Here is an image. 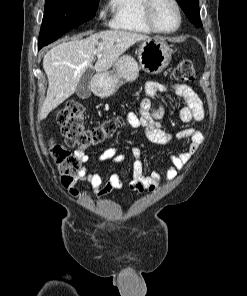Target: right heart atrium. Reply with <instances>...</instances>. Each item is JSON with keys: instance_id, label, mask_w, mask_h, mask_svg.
I'll return each mask as SVG.
<instances>
[{"instance_id": "right-heart-atrium-1", "label": "right heart atrium", "mask_w": 247, "mask_h": 296, "mask_svg": "<svg viewBox=\"0 0 247 296\" xmlns=\"http://www.w3.org/2000/svg\"><path fill=\"white\" fill-rule=\"evenodd\" d=\"M105 16H106L105 11H104V10H101L100 13H99V18H100V19H104Z\"/></svg>"}]
</instances>
